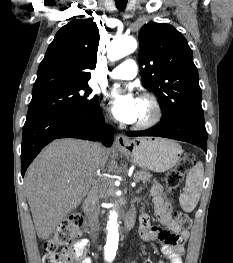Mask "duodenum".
<instances>
[{
	"mask_svg": "<svg viewBox=\"0 0 233 263\" xmlns=\"http://www.w3.org/2000/svg\"><path fill=\"white\" fill-rule=\"evenodd\" d=\"M135 223V212L131 211L127 214L124 221V230L129 231ZM87 227L90 231H94V225L91 222H88Z\"/></svg>",
	"mask_w": 233,
	"mask_h": 263,
	"instance_id": "410a0bca",
	"label": "duodenum"
}]
</instances>
